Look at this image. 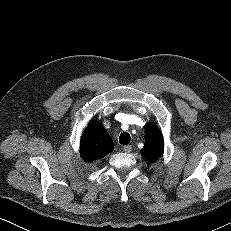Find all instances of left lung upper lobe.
Instances as JSON below:
<instances>
[{
  "mask_svg": "<svg viewBox=\"0 0 231 231\" xmlns=\"http://www.w3.org/2000/svg\"><path fill=\"white\" fill-rule=\"evenodd\" d=\"M164 152V140L161 131L154 125H148L145 129V145L141 149V155L150 163L158 160Z\"/></svg>",
  "mask_w": 231,
  "mask_h": 231,
  "instance_id": "5c2ea615",
  "label": "left lung upper lobe"
}]
</instances>
